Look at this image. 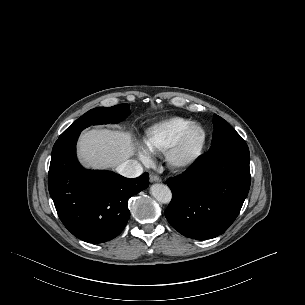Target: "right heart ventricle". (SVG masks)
Here are the masks:
<instances>
[{
  "mask_svg": "<svg viewBox=\"0 0 305 305\" xmlns=\"http://www.w3.org/2000/svg\"><path fill=\"white\" fill-rule=\"evenodd\" d=\"M191 123L190 120L182 117L164 119L146 129L144 142L151 151H167Z\"/></svg>",
  "mask_w": 305,
  "mask_h": 305,
  "instance_id": "right-heart-ventricle-1",
  "label": "right heart ventricle"
}]
</instances>
